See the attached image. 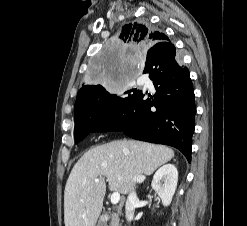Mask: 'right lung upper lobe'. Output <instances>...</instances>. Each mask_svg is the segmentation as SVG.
I'll return each instance as SVG.
<instances>
[{
  "label": "right lung upper lobe",
  "instance_id": "obj_1",
  "mask_svg": "<svg viewBox=\"0 0 247 226\" xmlns=\"http://www.w3.org/2000/svg\"><path fill=\"white\" fill-rule=\"evenodd\" d=\"M122 46L131 44L153 46L158 43H165L169 38L162 32L156 30L148 23L133 22L125 24L117 36ZM99 87L97 85H85L78 92L76 102L91 95ZM75 102V103H76Z\"/></svg>",
  "mask_w": 247,
  "mask_h": 226
}]
</instances>
